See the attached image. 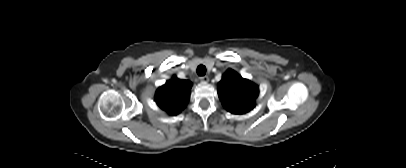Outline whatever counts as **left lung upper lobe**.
<instances>
[{"label":"left lung upper lobe","instance_id":"left-lung-upper-lobe-1","mask_svg":"<svg viewBox=\"0 0 406 168\" xmlns=\"http://www.w3.org/2000/svg\"><path fill=\"white\" fill-rule=\"evenodd\" d=\"M258 86L228 69L218 83V95L223 106L231 113L244 114L255 106Z\"/></svg>","mask_w":406,"mask_h":168}]
</instances>
